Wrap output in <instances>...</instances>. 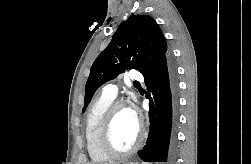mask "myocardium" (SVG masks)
Wrapping results in <instances>:
<instances>
[{"mask_svg":"<svg viewBox=\"0 0 251 164\" xmlns=\"http://www.w3.org/2000/svg\"><path fill=\"white\" fill-rule=\"evenodd\" d=\"M123 107H128V103L126 101H113L104 114L99 130V145L101 149L108 156L114 158L126 157L135 153L140 148L144 137L143 125L138 121V136L134 145L127 150H118L115 148L111 139L112 127L117 111Z\"/></svg>","mask_w":251,"mask_h":164,"instance_id":"myocardium-1","label":"myocardium"}]
</instances>
